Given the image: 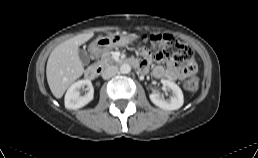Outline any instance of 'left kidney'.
<instances>
[{
  "instance_id": "obj_1",
  "label": "left kidney",
  "mask_w": 258,
  "mask_h": 158,
  "mask_svg": "<svg viewBox=\"0 0 258 158\" xmlns=\"http://www.w3.org/2000/svg\"><path fill=\"white\" fill-rule=\"evenodd\" d=\"M161 83L171 89L172 96L165 99L160 93H152L149 98L153 104L165 110H177L182 107L184 97L181 88L170 80L162 79Z\"/></svg>"
}]
</instances>
